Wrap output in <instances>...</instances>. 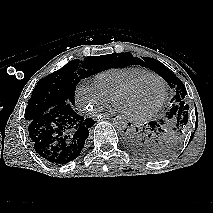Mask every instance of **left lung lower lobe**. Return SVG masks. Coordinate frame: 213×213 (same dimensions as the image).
Returning <instances> with one entry per match:
<instances>
[{
    "mask_svg": "<svg viewBox=\"0 0 213 213\" xmlns=\"http://www.w3.org/2000/svg\"><path fill=\"white\" fill-rule=\"evenodd\" d=\"M164 129L165 121L163 119L158 122L151 121L141 128H126L124 139L129 149L138 156L156 159V145Z\"/></svg>",
    "mask_w": 213,
    "mask_h": 213,
    "instance_id": "1",
    "label": "left lung lower lobe"
}]
</instances>
